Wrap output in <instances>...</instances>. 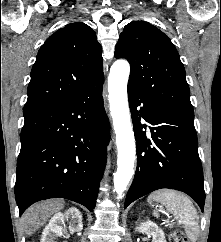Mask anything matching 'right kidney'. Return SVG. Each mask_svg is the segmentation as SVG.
<instances>
[{
    "label": "right kidney",
    "instance_id": "1",
    "mask_svg": "<svg viewBox=\"0 0 221 242\" xmlns=\"http://www.w3.org/2000/svg\"><path fill=\"white\" fill-rule=\"evenodd\" d=\"M65 220H70L69 230L71 232H80L83 229L82 215L80 211L75 207H71L64 213H56L50 219L49 223L42 232L40 242H55L54 237L56 235H62L64 231L62 225L64 224Z\"/></svg>",
    "mask_w": 221,
    "mask_h": 242
}]
</instances>
